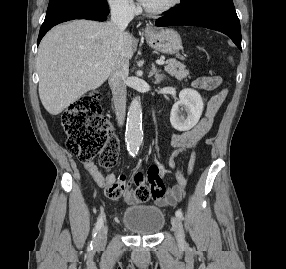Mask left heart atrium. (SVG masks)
I'll return each instance as SVG.
<instances>
[{
	"label": "left heart atrium",
	"mask_w": 286,
	"mask_h": 269,
	"mask_svg": "<svg viewBox=\"0 0 286 269\" xmlns=\"http://www.w3.org/2000/svg\"><path fill=\"white\" fill-rule=\"evenodd\" d=\"M139 1L144 5L147 0H139Z\"/></svg>",
	"instance_id": "1"
}]
</instances>
